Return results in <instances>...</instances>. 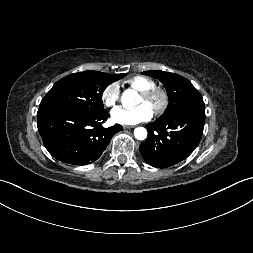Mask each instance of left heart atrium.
I'll return each instance as SVG.
<instances>
[{
    "instance_id": "left-heart-atrium-1",
    "label": "left heart atrium",
    "mask_w": 253,
    "mask_h": 253,
    "mask_svg": "<svg viewBox=\"0 0 253 253\" xmlns=\"http://www.w3.org/2000/svg\"><path fill=\"white\" fill-rule=\"evenodd\" d=\"M152 116L153 110L147 104H140L133 108L119 107L111 113L112 120L122 125H135L150 120Z\"/></svg>"
}]
</instances>
